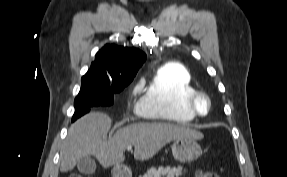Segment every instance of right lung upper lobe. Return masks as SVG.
<instances>
[{
	"instance_id": "right-lung-upper-lobe-1",
	"label": "right lung upper lobe",
	"mask_w": 287,
	"mask_h": 177,
	"mask_svg": "<svg viewBox=\"0 0 287 177\" xmlns=\"http://www.w3.org/2000/svg\"><path fill=\"white\" fill-rule=\"evenodd\" d=\"M146 55L136 48L105 45L98 51L95 61L85 74L104 86L133 80Z\"/></svg>"
}]
</instances>
